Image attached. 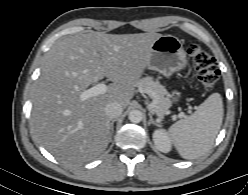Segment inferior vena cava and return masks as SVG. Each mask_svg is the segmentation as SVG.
I'll return each instance as SVG.
<instances>
[{"instance_id": "obj_1", "label": "inferior vena cava", "mask_w": 248, "mask_h": 195, "mask_svg": "<svg viewBox=\"0 0 248 195\" xmlns=\"http://www.w3.org/2000/svg\"><path fill=\"white\" fill-rule=\"evenodd\" d=\"M123 107L118 102H110L105 106V112L109 118H117L122 114Z\"/></svg>"}]
</instances>
